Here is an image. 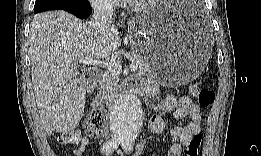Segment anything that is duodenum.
I'll return each instance as SVG.
<instances>
[{"label":"duodenum","instance_id":"duodenum-1","mask_svg":"<svg viewBox=\"0 0 261 156\" xmlns=\"http://www.w3.org/2000/svg\"><path fill=\"white\" fill-rule=\"evenodd\" d=\"M87 74H88L89 79L92 80L93 82H97L101 77L100 71L95 68L89 69ZM124 85H125L126 89H128V90L135 89L134 85L130 81L126 82ZM114 101H115V98L110 97L108 99L97 100L95 104H96V106H101V107H111L113 105Z\"/></svg>","mask_w":261,"mask_h":156}]
</instances>
